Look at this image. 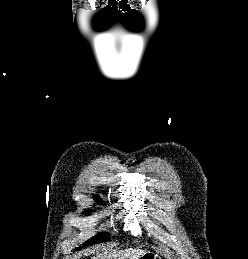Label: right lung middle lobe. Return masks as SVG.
Returning <instances> with one entry per match:
<instances>
[{"instance_id": "obj_1", "label": "right lung middle lobe", "mask_w": 248, "mask_h": 259, "mask_svg": "<svg viewBox=\"0 0 248 259\" xmlns=\"http://www.w3.org/2000/svg\"><path fill=\"white\" fill-rule=\"evenodd\" d=\"M98 201H100L99 199H97ZM87 213V212H86ZM104 241H110V237L108 236V234H98L96 237L88 240L87 242H85V246H88L89 244H95V243H101ZM82 246H80L79 248H77V250L81 249Z\"/></svg>"}]
</instances>
